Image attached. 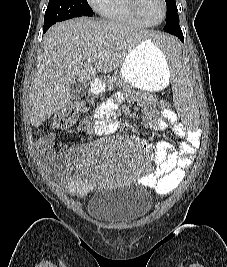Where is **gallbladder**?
<instances>
[{"label":"gallbladder","mask_w":227,"mask_h":267,"mask_svg":"<svg viewBox=\"0 0 227 267\" xmlns=\"http://www.w3.org/2000/svg\"><path fill=\"white\" fill-rule=\"evenodd\" d=\"M88 90V85L76 81L71 85L69 93L72 100H77L84 96Z\"/></svg>","instance_id":"gallbladder-1"}]
</instances>
